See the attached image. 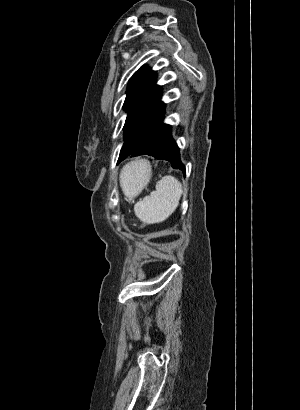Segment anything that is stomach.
<instances>
[{
    "mask_svg": "<svg viewBox=\"0 0 300 410\" xmlns=\"http://www.w3.org/2000/svg\"><path fill=\"white\" fill-rule=\"evenodd\" d=\"M140 163L145 167V171L143 173L138 172L134 176V183L131 188L133 196L137 195L148 184L152 176L149 163L146 161H140Z\"/></svg>",
    "mask_w": 300,
    "mask_h": 410,
    "instance_id": "stomach-1",
    "label": "stomach"
}]
</instances>
